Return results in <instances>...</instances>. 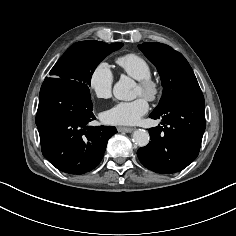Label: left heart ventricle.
Listing matches in <instances>:
<instances>
[{"label":"left heart ventricle","instance_id":"1","mask_svg":"<svg viewBox=\"0 0 236 236\" xmlns=\"http://www.w3.org/2000/svg\"><path fill=\"white\" fill-rule=\"evenodd\" d=\"M135 95H143V92L138 85L136 86Z\"/></svg>","mask_w":236,"mask_h":236}]
</instances>
